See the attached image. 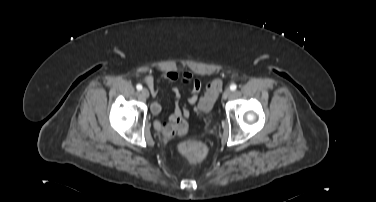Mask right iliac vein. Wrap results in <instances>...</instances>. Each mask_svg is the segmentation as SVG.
<instances>
[{"label": "right iliac vein", "mask_w": 376, "mask_h": 202, "mask_svg": "<svg viewBox=\"0 0 376 202\" xmlns=\"http://www.w3.org/2000/svg\"><path fill=\"white\" fill-rule=\"evenodd\" d=\"M141 95L144 97V98H148L149 97V91L144 88L141 90Z\"/></svg>", "instance_id": "obj_1"}]
</instances>
